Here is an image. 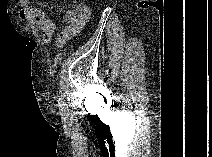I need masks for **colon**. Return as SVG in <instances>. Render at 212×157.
Wrapping results in <instances>:
<instances>
[{
    "label": "colon",
    "mask_w": 212,
    "mask_h": 157,
    "mask_svg": "<svg viewBox=\"0 0 212 157\" xmlns=\"http://www.w3.org/2000/svg\"><path fill=\"white\" fill-rule=\"evenodd\" d=\"M72 3L74 5H80L81 4V2L79 0H72Z\"/></svg>",
    "instance_id": "5ec220e1"
}]
</instances>
